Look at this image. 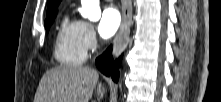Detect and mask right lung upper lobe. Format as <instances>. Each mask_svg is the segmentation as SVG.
<instances>
[{
  "instance_id": "1",
  "label": "right lung upper lobe",
  "mask_w": 221,
  "mask_h": 102,
  "mask_svg": "<svg viewBox=\"0 0 221 102\" xmlns=\"http://www.w3.org/2000/svg\"><path fill=\"white\" fill-rule=\"evenodd\" d=\"M61 0H48L47 3V16L57 12V7Z\"/></svg>"
}]
</instances>
